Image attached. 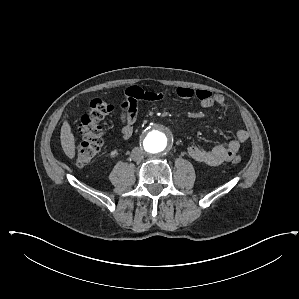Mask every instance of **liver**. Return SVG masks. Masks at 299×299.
<instances>
[{"instance_id": "6515ba94", "label": "liver", "mask_w": 299, "mask_h": 299, "mask_svg": "<svg viewBox=\"0 0 299 299\" xmlns=\"http://www.w3.org/2000/svg\"><path fill=\"white\" fill-rule=\"evenodd\" d=\"M61 146L65 155L73 159L75 157V138L68 121H64L60 133Z\"/></svg>"}]
</instances>
